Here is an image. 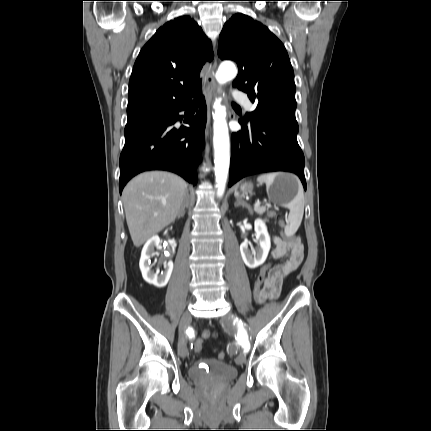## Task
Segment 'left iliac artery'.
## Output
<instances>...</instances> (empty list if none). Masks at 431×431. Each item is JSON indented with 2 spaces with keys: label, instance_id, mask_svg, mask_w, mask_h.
<instances>
[{
  "label": "left iliac artery",
  "instance_id": "44dca946",
  "mask_svg": "<svg viewBox=\"0 0 431 431\" xmlns=\"http://www.w3.org/2000/svg\"><path fill=\"white\" fill-rule=\"evenodd\" d=\"M236 322L238 323V326L240 327V331H241L239 341H240L242 347L244 348V352H248L250 349V343H249L248 336H247L246 332L243 330V323L241 320H238L237 318H236Z\"/></svg>",
  "mask_w": 431,
  "mask_h": 431
}]
</instances>
